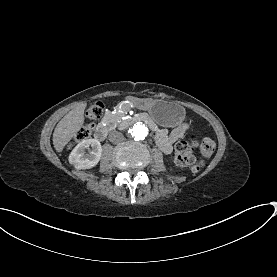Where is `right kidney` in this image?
I'll list each match as a JSON object with an SVG mask.
<instances>
[{
  "mask_svg": "<svg viewBox=\"0 0 277 277\" xmlns=\"http://www.w3.org/2000/svg\"><path fill=\"white\" fill-rule=\"evenodd\" d=\"M101 155L102 147L98 140L84 139L70 153L69 163L76 169H90L97 165Z\"/></svg>",
  "mask_w": 277,
  "mask_h": 277,
  "instance_id": "right-kidney-1",
  "label": "right kidney"
}]
</instances>
